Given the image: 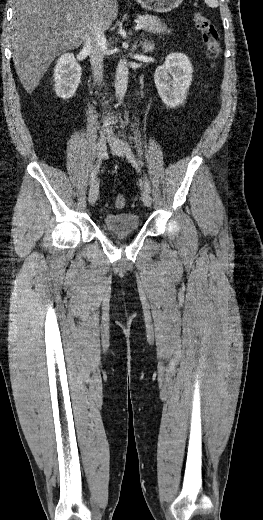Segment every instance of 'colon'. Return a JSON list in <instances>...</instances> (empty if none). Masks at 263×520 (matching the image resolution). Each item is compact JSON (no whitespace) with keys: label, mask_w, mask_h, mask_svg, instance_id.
<instances>
[{"label":"colon","mask_w":263,"mask_h":520,"mask_svg":"<svg viewBox=\"0 0 263 520\" xmlns=\"http://www.w3.org/2000/svg\"><path fill=\"white\" fill-rule=\"evenodd\" d=\"M192 22L196 29L201 33L207 58L210 61L215 62L220 57L222 51L220 35L217 28L207 16L199 12L193 15ZM125 205V197L122 194H118L115 197V206L121 209L124 208Z\"/></svg>","instance_id":"1"}]
</instances>
